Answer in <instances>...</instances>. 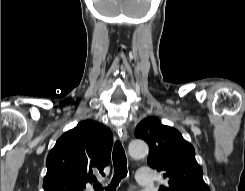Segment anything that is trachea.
<instances>
[{
  "instance_id": "3493384b",
  "label": "trachea",
  "mask_w": 245,
  "mask_h": 191,
  "mask_svg": "<svg viewBox=\"0 0 245 191\" xmlns=\"http://www.w3.org/2000/svg\"><path fill=\"white\" fill-rule=\"evenodd\" d=\"M112 157L114 164V176L112 178V183L106 188V191H113L121 179L127 176V159L120 141L115 142ZM95 189L99 191L101 189V185L96 184Z\"/></svg>"
}]
</instances>
